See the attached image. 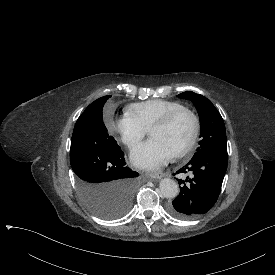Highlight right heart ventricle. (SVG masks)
<instances>
[{
    "label": "right heart ventricle",
    "instance_id": "e07e8e85",
    "mask_svg": "<svg viewBox=\"0 0 275 275\" xmlns=\"http://www.w3.org/2000/svg\"><path fill=\"white\" fill-rule=\"evenodd\" d=\"M185 108L176 101L164 99H152L145 102L129 105L127 115L132 116L146 130H150L153 125L172 111Z\"/></svg>",
    "mask_w": 275,
    "mask_h": 275
}]
</instances>
